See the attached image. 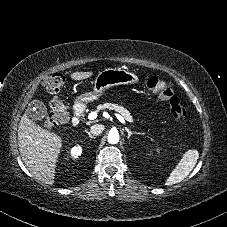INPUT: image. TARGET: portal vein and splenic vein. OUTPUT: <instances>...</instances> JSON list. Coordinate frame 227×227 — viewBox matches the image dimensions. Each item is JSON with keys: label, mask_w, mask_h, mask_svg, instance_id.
Wrapping results in <instances>:
<instances>
[{"label": "portal vein and splenic vein", "mask_w": 227, "mask_h": 227, "mask_svg": "<svg viewBox=\"0 0 227 227\" xmlns=\"http://www.w3.org/2000/svg\"><path fill=\"white\" fill-rule=\"evenodd\" d=\"M96 118H97V113H96V112H91V113H89V115H88V119H89V120H94V119H96ZM118 119H119V121H120L121 123H123V124L126 123L125 120H124L121 116H118Z\"/></svg>", "instance_id": "1"}]
</instances>
